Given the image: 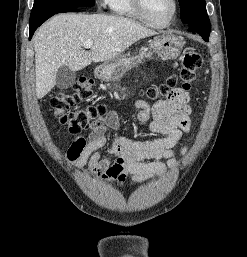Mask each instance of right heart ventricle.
I'll return each mask as SVG.
<instances>
[{
	"label": "right heart ventricle",
	"mask_w": 247,
	"mask_h": 257,
	"mask_svg": "<svg viewBox=\"0 0 247 257\" xmlns=\"http://www.w3.org/2000/svg\"><path fill=\"white\" fill-rule=\"evenodd\" d=\"M108 6L113 14L141 19L132 0H109Z\"/></svg>",
	"instance_id": "e07e8e85"
}]
</instances>
